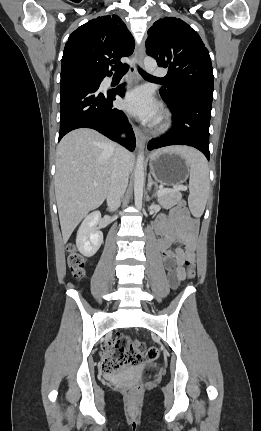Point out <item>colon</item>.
Returning a JSON list of instances; mask_svg holds the SVG:
<instances>
[{
	"instance_id": "colon-1",
	"label": "colon",
	"mask_w": 261,
	"mask_h": 431,
	"mask_svg": "<svg viewBox=\"0 0 261 431\" xmlns=\"http://www.w3.org/2000/svg\"><path fill=\"white\" fill-rule=\"evenodd\" d=\"M180 207L185 208L186 203L180 202ZM68 266L76 278H82L85 275V258L77 251L73 244L67 247ZM188 277H194V268L191 260L185 262ZM141 344L133 341L128 335L120 334L112 342L113 350L107 354L102 364L103 371L108 375H116L126 366L139 364L143 359L147 362L155 361L160 354L157 347H149L145 353L139 349ZM140 386H134L130 389L131 394H137Z\"/></svg>"
}]
</instances>
